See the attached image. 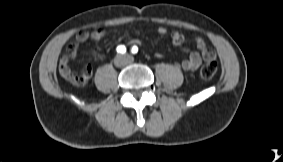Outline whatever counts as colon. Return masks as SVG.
Listing matches in <instances>:
<instances>
[{
	"instance_id": "5ec220e1",
	"label": "colon",
	"mask_w": 283,
	"mask_h": 162,
	"mask_svg": "<svg viewBox=\"0 0 283 162\" xmlns=\"http://www.w3.org/2000/svg\"><path fill=\"white\" fill-rule=\"evenodd\" d=\"M60 75L76 85H84L88 82L91 71L89 68H84L80 71H72L68 66L59 67ZM217 72V62L213 56H209L200 68V75L203 79H212Z\"/></svg>"
}]
</instances>
